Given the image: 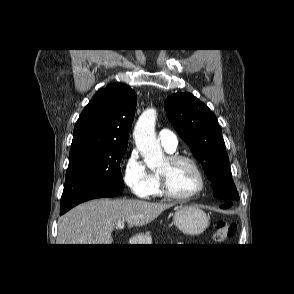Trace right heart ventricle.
Here are the masks:
<instances>
[{"label":"right heart ventricle","mask_w":294,"mask_h":294,"mask_svg":"<svg viewBox=\"0 0 294 294\" xmlns=\"http://www.w3.org/2000/svg\"><path fill=\"white\" fill-rule=\"evenodd\" d=\"M155 175V181H154V184L151 188V195L152 196H155V197H162L163 196V193L160 189V181H159V176L157 173H154Z\"/></svg>","instance_id":"right-heart-ventricle-1"}]
</instances>
